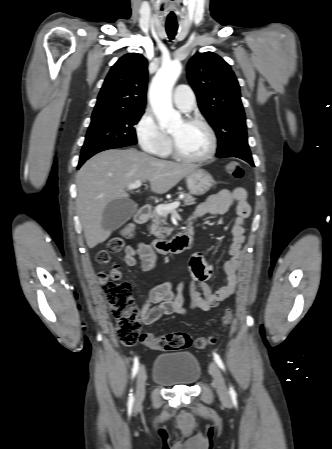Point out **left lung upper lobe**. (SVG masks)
Listing matches in <instances>:
<instances>
[{
  "label": "left lung upper lobe",
  "mask_w": 332,
  "mask_h": 449,
  "mask_svg": "<svg viewBox=\"0 0 332 449\" xmlns=\"http://www.w3.org/2000/svg\"><path fill=\"white\" fill-rule=\"evenodd\" d=\"M187 76L202 114L216 132L217 155L251 156L240 88L230 65L213 52L196 53L188 62Z\"/></svg>",
  "instance_id": "obj_1"
}]
</instances>
